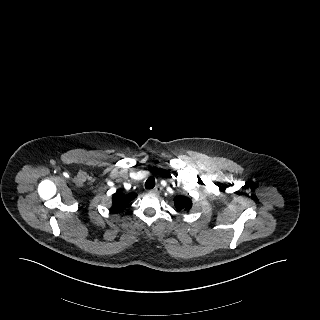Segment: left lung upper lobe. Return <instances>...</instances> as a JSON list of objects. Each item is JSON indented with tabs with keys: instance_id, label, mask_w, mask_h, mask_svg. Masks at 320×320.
<instances>
[{
	"instance_id": "left-lung-upper-lobe-1",
	"label": "left lung upper lobe",
	"mask_w": 320,
	"mask_h": 320,
	"mask_svg": "<svg viewBox=\"0 0 320 320\" xmlns=\"http://www.w3.org/2000/svg\"><path fill=\"white\" fill-rule=\"evenodd\" d=\"M175 207L176 209L181 211H189L192 207V201L191 198L186 196H177L174 199Z\"/></svg>"
}]
</instances>
